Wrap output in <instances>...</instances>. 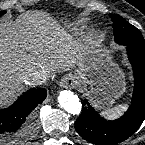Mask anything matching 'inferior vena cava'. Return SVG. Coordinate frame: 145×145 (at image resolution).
Returning a JSON list of instances; mask_svg holds the SVG:
<instances>
[{
	"label": "inferior vena cava",
	"mask_w": 145,
	"mask_h": 145,
	"mask_svg": "<svg viewBox=\"0 0 145 145\" xmlns=\"http://www.w3.org/2000/svg\"><path fill=\"white\" fill-rule=\"evenodd\" d=\"M47 80V75L44 72L41 71H35L30 73L25 78V83L33 84V85H41L42 83H45Z\"/></svg>",
	"instance_id": "602c4592"
}]
</instances>
